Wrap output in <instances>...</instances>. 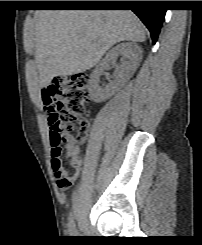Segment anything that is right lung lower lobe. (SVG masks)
I'll use <instances>...</instances> for the list:
<instances>
[{
  "mask_svg": "<svg viewBox=\"0 0 202 245\" xmlns=\"http://www.w3.org/2000/svg\"><path fill=\"white\" fill-rule=\"evenodd\" d=\"M82 7H132V11L141 19L149 29L153 44L156 43L166 10L163 9L158 1H129L120 3V1H81Z\"/></svg>",
  "mask_w": 202,
  "mask_h": 245,
  "instance_id": "98d812e1",
  "label": "right lung lower lobe"
}]
</instances>
